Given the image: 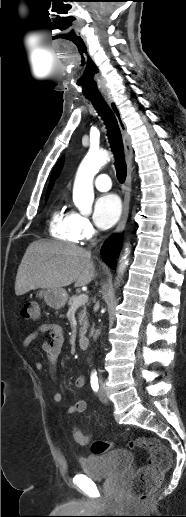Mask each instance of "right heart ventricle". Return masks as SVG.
<instances>
[{
	"instance_id": "e07e8e85",
	"label": "right heart ventricle",
	"mask_w": 186,
	"mask_h": 517,
	"mask_svg": "<svg viewBox=\"0 0 186 517\" xmlns=\"http://www.w3.org/2000/svg\"><path fill=\"white\" fill-rule=\"evenodd\" d=\"M49 231L52 237L68 243L75 244L79 241L71 212L65 208L57 207L51 214L49 221Z\"/></svg>"
}]
</instances>
